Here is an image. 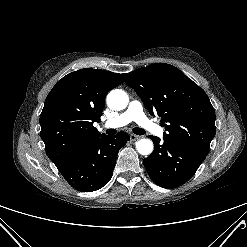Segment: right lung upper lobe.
I'll list each match as a JSON object with an SVG mask.
<instances>
[{
  "instance_id": "right-lung-upper-lobe-1",
  "label": "right lung upper lobe",
  "mask_w": 247,
  "mask_h": 247,
  "mask_svg": "<svg viewBox=\"0 0 247 247\" xmlns=\"http://www.w3.org/2000/svg\"><path fill=\"white\" fill-rule=\"evenodd\" d=\"M122 83L119 73L85 68L67 74L52 88L40 115V135L58 169L103 135L93 123L100 122L107 93Z\"/></svg>"
}]
</instances>
